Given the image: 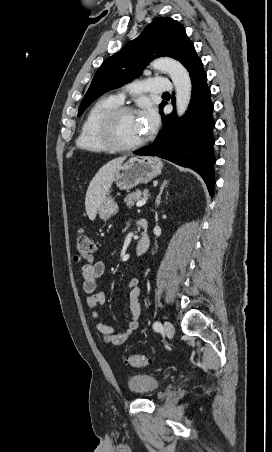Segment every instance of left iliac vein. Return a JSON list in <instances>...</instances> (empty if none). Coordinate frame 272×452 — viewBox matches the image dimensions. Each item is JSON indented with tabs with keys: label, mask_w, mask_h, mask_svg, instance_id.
<instances>
[{
	"label": "left iliac vein",
	"mask_w": 272,
	"mask_h": 452,
	"mask_svg": "<svg viewBox=\"0 0 272 452\" xmlns=\"http://www.w3.org/2000/svg\"><path fill=\"white\" fill-rule=\"evenodd\" d=\"M163 328H164V332L166 333V335L168 337H172L174 335L175 329L171 322L165 321Z\"/></svg>",
	"instance_id": "left-iliac-vein-1"
}]
</instances>
